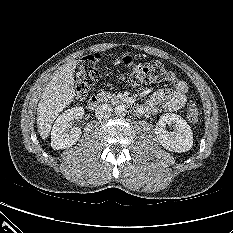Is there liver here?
<instances>
[{
  "instance_id": "1",
  "label": "liver",
  "mask_w": 233,
  "mask_h": 233,
  "mask_svg": "<svg viewBox=\"0 0 233 233\" xmlns=\"http://www.w3.org/2000/svg\"><path fill=\"white\" fill-rule=\"evenodd\" d=\"M76 65L77 61H71L60 67L44 88L37 108V127L42 139L48 137L56 117L74 100Z\"/></svg>"
}]
</instances>
